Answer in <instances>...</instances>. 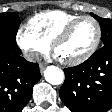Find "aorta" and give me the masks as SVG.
<instances>
[{
    "instance_id": "obj_1",
    "label": "aorta",
    "mask_w": 112,
    "mask_h": 112,
    "mask_svg": "<svg viewBox=\"0 0 112 112\" xmlns=\"http://www.w3.org/2000/svg\"><path fill=\"white\" fill-rule=\"evenodd\" d=\"M45 80L52 85H60L64 82V72L56 66H48L44 71Z\"/></svg>"
}]
</instances>
